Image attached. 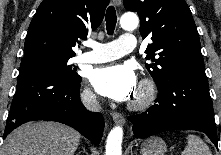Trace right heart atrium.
I'll use <instances>...</instances> for the list:
<instances>
[{"label":"right heart atrium","mask_w":221,"mask_h":155,"mask_svg":"<svg viewBox=\"0 0 221 155\" xmlns=\"http://www.w3.org/2000/svg\"><path fill=\"white\" fill-rule=\"evenodd\" d=\"M82 100L84 101V103H86L88 105H94L97 103V97H96L95 93L92 90H90L89 88H86L82 92Z\"/></svg>","instance_id":"obj_1"}]
</instances>
